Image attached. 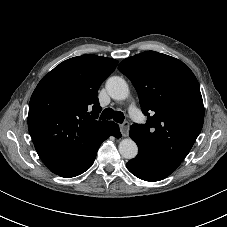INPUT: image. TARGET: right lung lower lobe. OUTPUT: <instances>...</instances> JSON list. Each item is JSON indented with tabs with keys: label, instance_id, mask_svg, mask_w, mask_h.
<instances>
[{
	"label": "right lung lower lobe",
	"instance_id": "1",
	"mask_svg": "<svg viewBox=\"0 0 227 227\" xmlns=\"http://www.w3.org/2000/svg\"><path fill=\"white\" fill-rule=\"evenodd\" d=\"M117 134H120L119 127L117 124L113 123L112 126L110 127V129L104 134V136L99 140V142L94 146V148L84 158H82L71 169L60 174L59 176L65 177V178L75 177V176L82 174L86 170H88L95 160L98 148L100 147L101 143L104 140H106L109 136H116Z\"/></svg>",
	"mask_w": 227,
	"mask_h": 227
}]
</instances>
